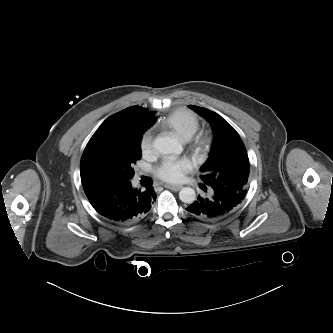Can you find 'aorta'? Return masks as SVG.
<instances>
[{"instance_id": "1", "label": "aorta", "mask_w": 333, "mask_h": 333, "mask_svg": "<svg viewBox=\"0 0 333 333\" xmlns=\"http://www.w3.org/2000/svg\"><path fill=\"white\" fill-rule=\"evenodd\" d=\"M155 149L161 154H180L183 150L178 140L171 137H158L154 141ZM179 199L187 204L196 200V192L191 187H184L179 192Z\"/></svg>"}]
</instances>
